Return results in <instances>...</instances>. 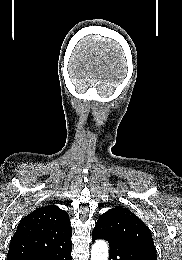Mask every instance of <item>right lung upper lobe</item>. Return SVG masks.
Wrapping results in <instances>:
<instances>
[{
  "label": "right lung upper lobe",
  "mask_w": 182,
  "mask_h": 260,
  "mask_svg": "<svg viewBox=\"0 0 182 260\" xmlns=\"http://www.w3.org/2000/svg\"><path fill=\"white\" fill-rule=\"evenodd\" d=\"M67 212L55 205L34 210L18 224L11 239L7 260H30L72 245Z\"/></svg>",
  "instance_id": "cb5924a9"
}]
</instances>
